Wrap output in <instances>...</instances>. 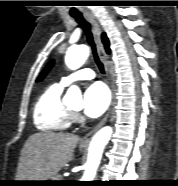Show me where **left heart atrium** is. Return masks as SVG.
Returning a JSON list of instances; mask_svg holds the SVG:
<instances>
[{
    "instance_id": "1",
    "label": "left heart atrium",
    "mask_w": 178,
    "mask_h": 186,
    "mask_svg": "<svg viewBox=\"0 0 178 186\" xmlns=\"http://www.w3.org/2000/svg\"><path fill=\"white\" fill-rule=\"evenodd\" d=\"M109 102L110 95L106 86L101 82L93 83L84 94V113L90 118H97L106 111Z\"/></svg>"
}]
</instances>
